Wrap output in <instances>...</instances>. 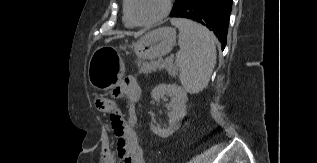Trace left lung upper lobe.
Masks as SVG:
<instances>
[{"label": "left lung upper lobe", "mask_w": 317, "mask_h": 163, "mask_svg": "<svg viewBox=\"0 0 317 163\" xmlns=\"http://www.w3.org/2000/svg\"><path fill=\"white\" fill-rule=\"evenodd\" d=\"M177 2H178V0H176V3L174 4V7L177 5ZM174 7H173V8H174Z\"/></svg>", "instance_id": "1"}]
</instances>
